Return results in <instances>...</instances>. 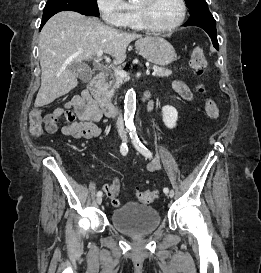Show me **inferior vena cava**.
I'll return each mask as SVG.
<instances>
[{"instance_id":"1","label":"inferior vena cava","mask_w":261,"mask_h":273,"mask_svg":"<svg viewBox=\"0 0 261 273\" xmlns=\"http://www.w3.org/2000/svg\"><path fill=\"white\" fill-rule=\"evenodd\" d=\"M116 127H117L118 134L121 137H123L125 135V130H124L123 118L121 114H119L117 118Z\"/></svg>"}]
</instances>
